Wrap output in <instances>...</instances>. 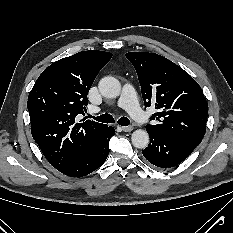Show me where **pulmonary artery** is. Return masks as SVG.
<instances>
[{"label": "pulmonary artery", "instance_id": "pulmonary-artery-1", "mask_svg": "<svg viewBox=\"0 0 233 233\" xmlns=\"http://www.w3.org/2000/svg\"><path fill=\"white\" fill-rule=\"evenodd\" d=\"M118 106L127 110V112L138 122L149 120V116L142 110L138 103L135 89L130 84H125L117 102ZM97 110H95L96 112Z\"/></svg>", "mask_w": 233, "mask_h": 233}]
</instances>
